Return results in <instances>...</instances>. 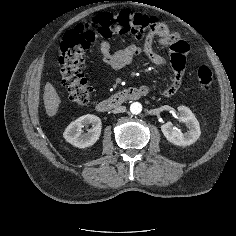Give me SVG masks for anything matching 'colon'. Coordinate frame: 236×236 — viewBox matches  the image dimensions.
Instances as JSON below:
<instances>
[{"label":"colon","instance_id":"colon-1","mask_svg":"<svg viewBox=\"0 0 236 236\" xmlns=\"http://www.w3.org/2000/svg\"><path fill=\"white\" fill-rule=\"evenodd\" d=\"M147 31L153 32L162 41H168L174 36L155 17L130 10L100 13L69 30L61 43L60 67L70 100L77 105L90 102L92 87L83 73L82 65L85 53L97 37L111 38L119 34L142 38ZM197 78L201 88L207 89L212 85L213 71L203 65L197 70Z\"/></svg>","mask_w":236,"mask_h":236}]
</instances>
